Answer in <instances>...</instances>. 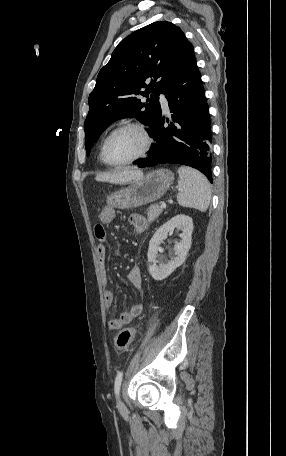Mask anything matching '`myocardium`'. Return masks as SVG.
<instances>
[{"instance_id": "1", "label": "myocardium", "mask_w": 286, "mask_h": 456, "mask_svg": "<svg viewBox=\"0 0 286 456\" xmlns=\"http://www.w3.org/2000/svg\"><path fill=\"white\" fill-rule=\"evenodd\" d=\"M127 128H135V129H137L138 131L141 132V134L143 135L144 140H145L144 148L137 156H135V157H133V158H131L129 160H126V161L120 162V163H113L107 157V146H108V143H109L111 138L116 133H118L121 130L127 129ZM152 144H153V137H152L148 127L145 124L140 123V122H136V121H128V122H125V123L117 126L116 128H114L105 137V139L103 141L102 148H101V159L106 165H108L110 167H113V168L124 167V166H127V165H130L132 163H135L138 160L146 157V155L151 150Z\"/></svg>"}]
</instances>
